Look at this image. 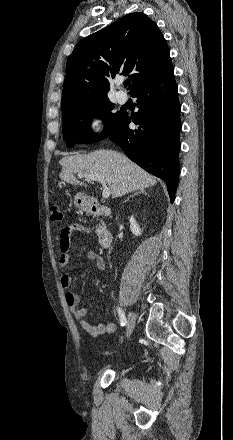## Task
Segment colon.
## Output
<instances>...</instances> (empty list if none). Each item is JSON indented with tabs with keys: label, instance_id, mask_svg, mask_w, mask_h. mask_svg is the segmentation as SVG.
Wrapping results in <instances>:
<instances>
[{
	"label": "colon",
	"instance_id": "5ec220e1",
	"mask_svg": "<svg viewBox=\"0 0 233 440\" xmlns=\"http://www.w3.org/2000/svg\"><path fill=\"white\" fill-rule=\"evenodd\" d=\"M50 218L54 222H61L63 220V213L59 204L54 203L50 206Z\"/></svg>",
	"mask_w": 233,
	"mask_h": 440
}]
</instances>
